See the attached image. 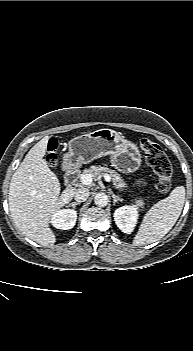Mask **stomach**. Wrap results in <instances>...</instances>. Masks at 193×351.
I'll list each match as a JSON object with an SVG mask.
<instances>
[{"label": "stomach", "instance_id": "0dacf381", "mask_svg": "<svg viewBox=\"0 0 193 351\" xmlns=\"http://www.w3.org/2000/svg\"><path fill=\"white\" fill-rule=\"evenodd\" d=\"M102 156H109L111 165L122 173H133L141 166L142 156L136 144L111 129H99L80 135L69 142V152L65 155L64 164L74 168L87 164ZM137 185H145L141 178Z\"/></svg>", "mask_w": 193, "mask_h": 351}]
</instances>
